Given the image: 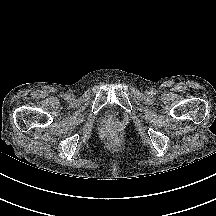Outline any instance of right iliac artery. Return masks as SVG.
<instances>
[{
	"label": "right iliac artery",
	"instance_id": "obj_1",
	"mask_svg": "<svg viewBox=\"0 0 216 216\" xmlns=\"http://www.w3.org/2000/svg\"><path fill=\"white\" fill-rule=\"evenodd\" d=\"M64 98H65V99H67V98H68V96H67V95H64Z\"/></svg>",
	"mask_w": 216,
	"mask_h": 216
}]
</instances>
